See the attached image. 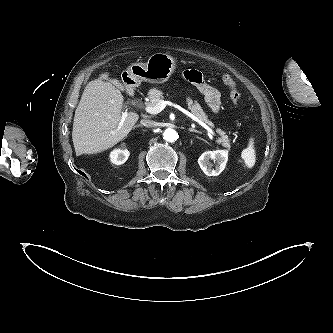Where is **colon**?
<instances>
[{
  "label": "colon",
  "instance_id": "colon-1",
  "mask_svg": "<svg viewBox=\"0 0 333 333\" xmlns=\"http://www.w3.org/2000/svg\"><path fill=\"white\" fill-rule=\"evenodd\" d=\"M222 81L229 89L230 98L232 102L235 105H239L241 101V96L236 88V83L234 79L230 75L225 74L222 76Z\"/></svg>",
  "mask_w": 333,
  "mask_h": 333
}]
</instances>
